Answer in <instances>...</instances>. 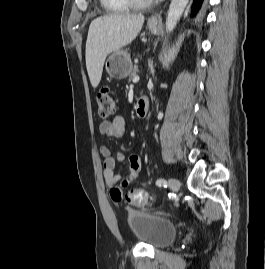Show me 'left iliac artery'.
<instances>
[{"instance_id": "44dca946", "label": "left iliac artery", "mask_w": 265, "mask_h": 269, "mask_svg": "<svg viewBox=\"0 0 265 269\" xmlns=\"http://www.w3.org/2000/svg\"><path fill=\"white\" fill-rule=\"evenodd\" d=\"M156 184L158 186H166L167 183L164 179H159V180H157Z\"/></svg>"}]
</instances>
